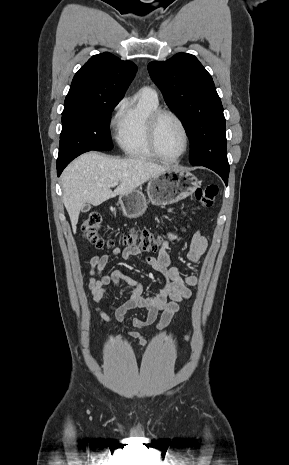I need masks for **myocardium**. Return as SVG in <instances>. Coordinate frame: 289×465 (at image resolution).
I'll list each match as a JSON object with an SVG mask.
<instances>
[{
  "label": "myocardium",
  "instance_id": "1",
  "mask_svg": "<svg viewBox=\"0 0 289 465\" xmlns=\"http://www.w3.org/2000/svg\"><path fill=\"white\" fill-rule=\"evenodd\" d=\"M165 116H170L173 119H175L178 122V124L180 125V127H181V129L183 131V134H184V139H185L184 149L179 155H177L174 158H167V157L163 156L162 153L160 152L159 146H158L159 124H160V121L162 120V118L165 117ZM148 143H149V146H150V149H151L152 153L159 160H161L163 162H167V163L177 162L187 153V151H188V149L190 147L189 130H188L185 122L183 121V119L177 113H175L174 111L169 110V109L159 108V109L155 110L149 117V121H148Z\"/></svg>",
  "mask_w": 289,
  "mask_h": 465
}]
</instances>
